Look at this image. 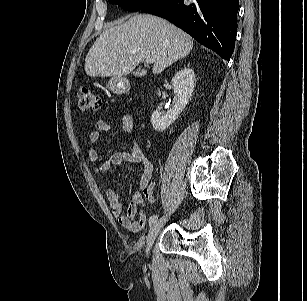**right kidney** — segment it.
<instances>
[{"label":"right kidney","instance_id":"right-kidney-1","mask_svg":"<svg viewBox=\"0 0 307 301\" xmlns=\"http://www.w3.org/2000/svg\"><path fill=\"white\" fill-rule=\"evenodd\" d=\"M171 83L173 85L174 94L178 97V100L174 108L166 114L161 115L159 111H154L152 113L151 123L153 128L158 132L164 131L173 124L188 104L194 89L195 73L191 68L185 67L174 75ZM160 95L161 92L158 91V96Z\"/></svg>","mask_w":307,"mask_h":301}]
</instances>
